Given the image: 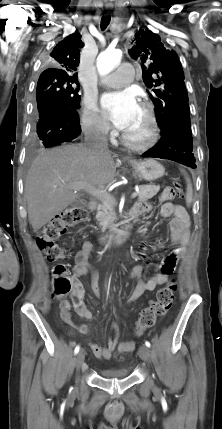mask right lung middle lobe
<instances>
[{
    "label": "right lung middle lobe",
    "instance_id": "obj_1",
    "mask_svg": "<svg viewBox=\"0 0 222 429\" xmlns=\"http://www.w3.org/2000/svg\"><path fill=\"white\" fill-rule=\"evenodd\" d=\"M79 89V83L76 78H39L36 89L38 112L54 101H62L73 108H78L81 99V96L78 94Z\"/></svg>",
    "mask_w": 222,
    "mask_h": 429
}]
</instances>
